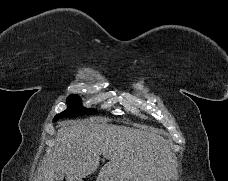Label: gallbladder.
<instances>
[{
  "label": "gallbladder",
  "instance_id": "bac80fb5",
  "mask_svg": "<svg viewBox=\"0 0 228 181\" xmlns=\"http://www.w3.org/2000/svg\"><path fill=\"white\" fill-rule=\"evenodd\" d=\"M64 175L62 173H59V175H56L54 181H63Z\"/></svg>",
  "mask_w": 228,
  "mask_h": 181
}]
</instances>
